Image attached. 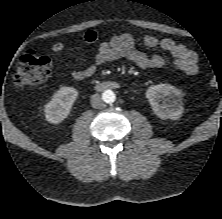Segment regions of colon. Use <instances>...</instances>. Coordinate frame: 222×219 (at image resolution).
Returning <instances> with one entry per match:
<instances>
[{"label": "colon", "mask_w": 222, "mask_h": 219, "mask_svg": "<svg viewBox=\"0 0 222 219\" xmlns=\"http://www.w3.org/2000/svg\"><path fill=\"white\" fill-rule=\"evenodd\" d=\"M51 74V60L48 56L28 50L22 54L12 77V85L17 90L45 82ZM210 83L216 85L215 77Z\"/></svg>", "instance_id": "1"}]
</instances>
